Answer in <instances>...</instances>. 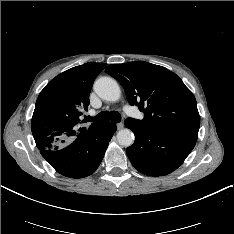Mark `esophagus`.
Segmentation results:
<instances>
[{
    "label": "esophagus",
    "mask_w": 234,
    "mask_h": 234,
    "mask_svg": "<svg viewBox=\"0 0 234 234\" xmlns=\"http://www.w3.org/2000/svg\"><path fill=\"white\" fill-rule=\"evenodd\" d=\"M124 127L123 123H117V129L121 130Z\"/></svg>",
    "instance_id": "esophagus-1"
}]
</instances>
